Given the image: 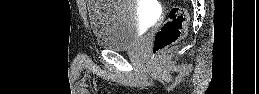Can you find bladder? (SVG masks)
Returning a JSON list of instances; mask_svg holds the SVG:
<instances>
[{"instance_id":"1","label":"bladder","mask_w":259,"mask_h":94,"mask_svg":"<svg viewBox=\"0 0 259 94\" xmlns=\"http://www.w3.org/2000/svg\"><path fill=\"white\" fill-rule=\"evenodd\" d=\"M88 17L92 33L103 48L127 50L140 37L141 12L132 0L89 1Z\"/></svg>"}]
</instances>
